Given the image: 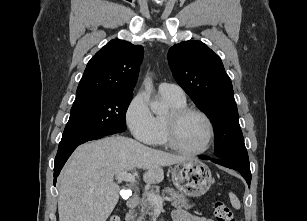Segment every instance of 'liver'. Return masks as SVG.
<instances>
[{
    "label": "liver",
    "instance_id": "liver-1",
    "mask_svg": "<svg viewBox=\"0 0 307 221\" xmlns=\"http://www.w3.org/2000/svg\"><path fill=\"white\" fill-rule=\"evenodd\" d=\"M186 160L123 136L82 144L57 181L59 221H106L119 200L114 176L137 167L145 171V183L156 184L164 179V166Z\"/></svg>",
    "mask_w": 307,
    "mask_h": 221
}]
</instances>
